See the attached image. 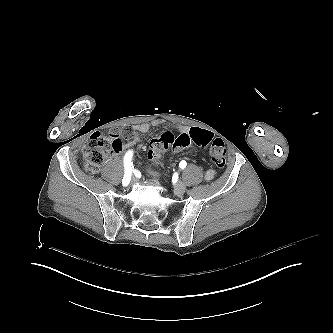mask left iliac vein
I'll return each instance as SVG.
<instances>
[{
	"mask_svg": "<svg viewBox=\"0 0 333 333\" xmlns=\"http://www.w3.org/2000/svg\"><path fill=\"white\" fill-rule=\"evenodd\" d=\"M185 192V185L182 182H177L174 186V193L181 195Z\"/></svg>",
	"mask_w": 333,
	"mask_h": 333,
	"instance_id": "1",
	"label": "left iliac vein"
}]
</instances>
